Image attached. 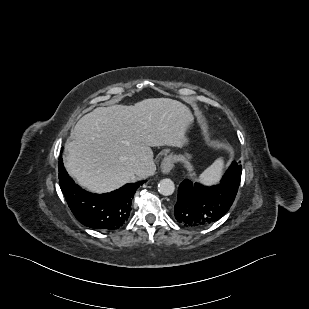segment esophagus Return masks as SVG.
<instances>
[{"instance_id":"obj_1","label":"esophagus","mask_w":309,"mask_h":309,"mask_svg":"<svg viewBox=\"0 0 309 309\" xmlns=\"http://www.w3.org/2000/svg\"><path fill=\"white\" fill-rule=\"evenodd\" d=\"M174 166V162L171 156H166L161 163V171L164 174H168Z\"/></svg>"}]
</instances>
